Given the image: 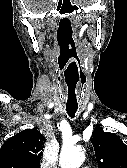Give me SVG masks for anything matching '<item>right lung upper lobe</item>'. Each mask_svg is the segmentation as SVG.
<instances>
[{
    "mask_svg": "<svg viewBox=\"0 0 127 168\" xmlns=\"http://www.w3.org/2000/svg\"><path fill=\"white\" fill-rule=\"evenodd\" d=\"M45 137L27 129L8 139L0 149V168H39Z\"/></svg>",
    "mask_w": 127,
    "mask_h": 168,
    "instance_id": "1",
    "label": "right lung upper lobe"
}]
</instances>
